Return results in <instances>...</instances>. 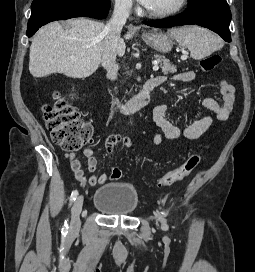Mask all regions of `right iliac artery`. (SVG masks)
Segmentation results:
<instances>
[{
    "label": "right iliac artery",
    "instance_id": "right-iliac-artery-1",
    "mask_svg": "<svg viewBox=\"0 0 255 272\" xmlns=\"http://www.w3.org/2000/svg\"><path fill=\"white\" fill-rule=\"evenodd\" d=\"M77 196H78V191L74 190L71 193V196H70V204L73 203L76 200ZM67 230H68V223H67V221H65V223L63 225V228H62V231L67 233Z\"/></svg>",
    "mask_w": 255,
    "mask_h": 272
}]
</instances>
